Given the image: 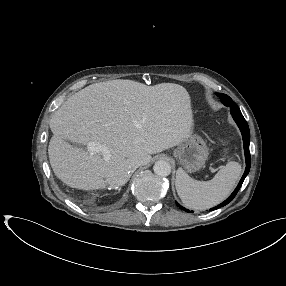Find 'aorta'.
<instances>
[{"instance_id":"obj_1","label":"aorta","mask_w":286,"mask_h":286,"mask_svg":"<svg viewBox=\"0 0 286 286\" xmlns=\"http://www.w3.org/2000/svg\"><path fill=\"white\" fill-rule=\"evenodd\" d=\"M154 173L161 177H166L171 173V165L165 160H158L153 166Z\"/></svg>"}]
</instances>
